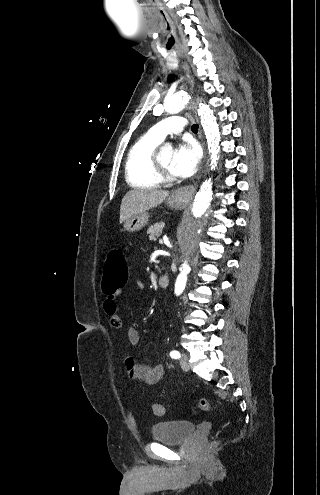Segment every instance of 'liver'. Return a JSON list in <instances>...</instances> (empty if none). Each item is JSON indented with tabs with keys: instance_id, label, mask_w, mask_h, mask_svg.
Segmentation results:
<instances>
[{
	"instance_id": "obj_1",
	"label": "liver",
	"mask_w": 320,
	"mask_h": 495,
	"mask_svg": "<svg viewBox=\"0 0 320 495\" xmlns=\"http://www.w3.org/2000/svg\"><path fill=\"white\" fill-rule=\"evenodd\" d=\"M169 196L168 191L134 189L126 193L120 206V223L127 218L160 205Z\"/></svg>"
}]
</instances>
